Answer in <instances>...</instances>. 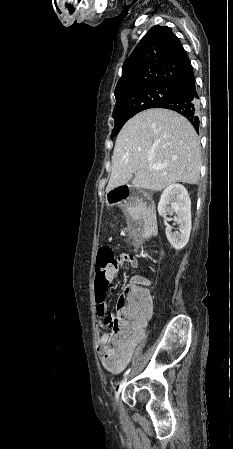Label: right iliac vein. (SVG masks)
Here are the masks:
<instances>
[{"mask_svg":"<svg viewBox=\"0 0 233 449\" xmlns=\"http://www.w3.org/2000/svg\"><path fill=\"white\" fill-rule=\"evenodd\" d=\"M130 378V375L126 376L120 383L118 388L115 391V401L118 402L119 401V396L121 393L122 388L124 387V385L126 384V382L128 381V379Z\"/></svg>","mask_w":233,"mask_h":449,"instance_id":"63e3f726","label":"right iliac vein"}]
</instances>
